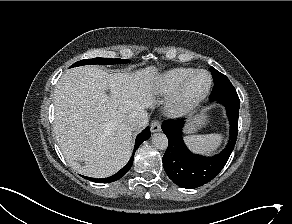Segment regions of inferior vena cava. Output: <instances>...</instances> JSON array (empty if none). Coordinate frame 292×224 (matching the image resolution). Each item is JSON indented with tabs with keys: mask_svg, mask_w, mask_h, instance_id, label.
Returning a JSON list of instances; mask_svg holds the SVG:
<instances>
[{
	"mask_svg": "<svg viewBox=\"0 0 292 224\" xmlns=\"http://www.w3.org/2000/svg\"><path fill=\"white\" fill-rule=\"evenodd\" d=\"M127 123L130 129L135 131V130H138L142 126L143 120L140 114L135 113L129 117Z\"/></svg>",
	"mask_w": 292,
	"mask_h": 224,
	"instance_id": "obj_1",
	"label": "inferior vena cava"
}]
</instances>
